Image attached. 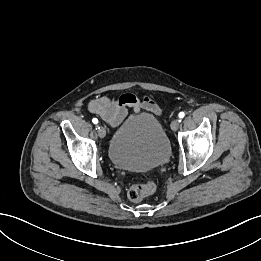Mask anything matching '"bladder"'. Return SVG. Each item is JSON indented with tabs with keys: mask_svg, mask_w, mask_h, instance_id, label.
<instances>
[{
	"mask_svg": "<svg viewBox=\"0 0 261 261\" xmlns=\"http://www.w3.org/2000/svg\"><path fill=\"white\" fill-rule=\"evenodd\" d=\"M171 154L170 140L161 122L151 114L128 117L114 132L108 157L118 168L147 171L166 163Z\"/></svg>",
	"mask_w": 261,
	"mask_h": 261,
	"instance_id": "1",
	"label": "bladder"
}]
</instances>
